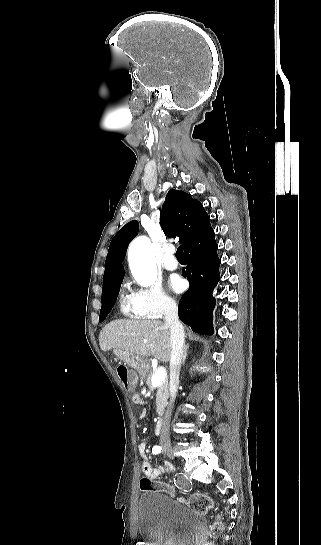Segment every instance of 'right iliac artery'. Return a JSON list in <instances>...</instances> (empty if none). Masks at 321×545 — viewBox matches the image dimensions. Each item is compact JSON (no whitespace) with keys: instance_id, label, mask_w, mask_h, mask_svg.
Returning <instances> with one entry per match:
<instances>
[{"instance_id":"right-iliac-artery-1","label":"right iliac artery","mask_w":321,"mask_h":545,"mask_svg":"<svg viewBox=\"0 0 321 545\" xmlns=\"http://www.w3.org/2000/svg\"><path fill=\"white\" fill-rule=\"evenodd\" d=\"M161 450H162V449H161L160 446H154V447L152 448V453H153V454H159V453L161 452Z\"/></svg>"}]
</instances>
